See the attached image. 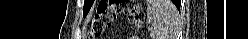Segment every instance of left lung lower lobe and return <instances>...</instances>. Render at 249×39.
Here are the masks:
<instances>
[{
	"instance_id": "obj_1",
	"label": "left lung lower lobe",
	"mask_w": 249,
	"mask_h": 39,
	"mask_svg": "<svg viewBox=\"0 0 249 39\" xmlns=\"http://www.w3.org/2000/svg\"><path fill=\"white\" fill-rule=\"evenodd\" d=\"M173 2H174V4L177 6V8L180 7V1H178V0H173Z\"/></svg>"
}]
</instances>
